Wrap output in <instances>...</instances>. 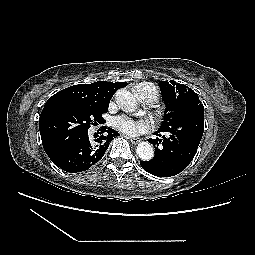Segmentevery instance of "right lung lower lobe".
I'll use <instances>...</instances> for the list:
<instances>
[{"mask_svg":"<svg viewBox=\"0 0 255 255\" xmlns=\"http://www.w3.org/2000/svg\"><path fill=\"white\" fill-rule=\"evenodd\" d=\"M118 135L114 129L102 127L100 132L95 134L94 140L89 138L88 132L65 144L52 142L42 133L41 139L45 152L57 167L76 173L97 163L104 156L110 141Z\"/></svg>","mask_w":255,"mask_h":255,"instance_id":"right-lung-lower-lobe-1","label":"right lung lower lobe"}]
</instances>
